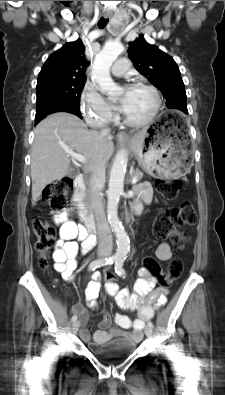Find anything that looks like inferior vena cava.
<instances>
[{"instance_id":"602c4592","label":"inferior vena cava","mask_w":225,"mask_h":395,"mask_svg":"<svg viewBox=\"0 0 225 395\" xmlns=\"http://www.w3.org/2000/svg\"><path fill=\"white\" fill-rule=\"evenodd\" d=\"M99 125L102 127L101 134L105 136L109 135L110 129L105 127L103 123H100ZM105 172L106 167L102 160H99L90 168L89 199L97 224L99 255L110 254L113 246V239L106 219L103 195L101 192L105 184Z\"/></svg>"}]
</instances>
